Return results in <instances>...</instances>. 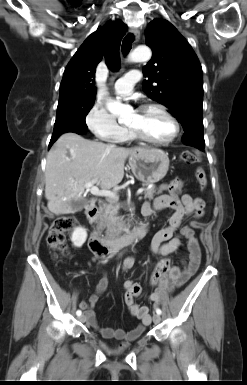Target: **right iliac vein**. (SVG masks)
Segmentation results:
<instances>
[{
    "instance_id": "right-iliac-vein-1",
    "label": "right iliac vein",
    "mask_w": 247,
    "mask_h": 385,
    "mask_svg": "<svg viewBox=\"0 0 247 385\" xmlns=\"http://www.w3.org/2000/svg\"><path fill=\"white\" fill-rule=\"evenodd\" d=\"M79 321L84 322V321H85V316H84V315H81V316L79 317Z\"/></svg>"
}]
</instances>
